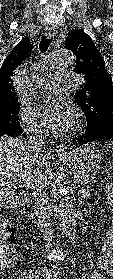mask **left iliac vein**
Returning <instances> with one entry per match:
<instances>
[{
  "mask_svg": "<svg viewBox=\"0 0 113 279\" xmlns=\"http://www.w3.org/2000/svg\"><path fill=\"white\" fill-rule=\"evenodd\" d=\"M46 279H57V277L52 276V274L50 272H47Z\"/></svg>",
  "mask_w": 113,
  "mask_h": 279,
  "instance_id": "4c4485c4",
  "label": "left iliac vein"
}]
</instances>
